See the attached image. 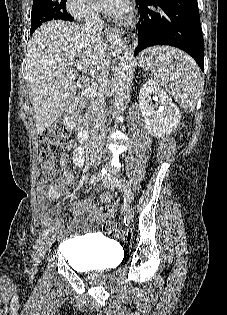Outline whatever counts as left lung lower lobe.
<instances>
[{
    "mask_svg": "<svg viewBox=\"0 0 227 315\" xmlns=\"http://www.w3.org/2000/svg\"><path fill=\"white\" fill-rule=\"evenodd\" d=\"M135 56L154 45H171L191 55L204 71V41L197 0H137Z\"/></svg>",
    "mask_w": 227,
    "mask_h": 315,
    "instance_id": "0a47b994",
    "label": "left lung lower lobe"
}]
</instances>
